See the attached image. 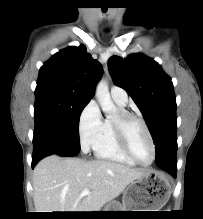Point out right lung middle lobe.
Masks as SVG:
<instances>
[{"mask_svg": "<svg viewBox=\"0 0 203 219\" xmlns=\"http://www.w3.org/2000/svg\"><path fill=\"white\" fill-rule=\"evenodd\" d=\"M35 99L33 146H46V156L77 155L80 114L90 100L52 88L36 89Z\"/></svg>", "mask_w": 203, "mask_h": 219, "instance_id": "dd1d6c3e", "label": "right lung middle lobe"}]
</instances>
